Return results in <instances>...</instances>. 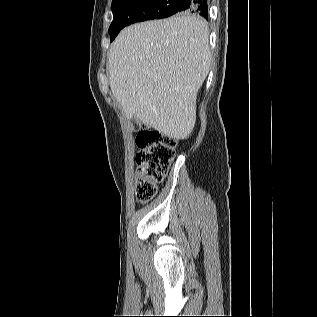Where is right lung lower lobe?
<instances>
[{
	"instance_id": "98d812e1",
	"label": "right lung lower lobe",
	"mask_w": 317,
	"mask_h": 317,
	"mask_svg": "<svg viewBox=\"0 0 317 317\" xmlns=\"http://www.w3.org/2000/svg\"><path fill=\"white\" fill-rule=\"evenodd\" d=\"M180 12H190L204 17L208 20L207 0H177L175 2Z\"/></svg>"
}]
</instances>
